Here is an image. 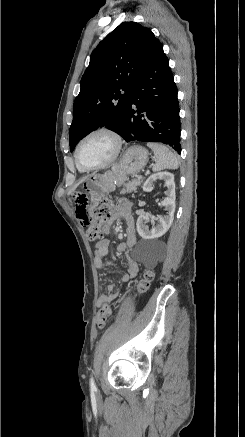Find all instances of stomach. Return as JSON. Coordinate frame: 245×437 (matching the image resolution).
Here are the masks:
<instances>
[{"label":"stomach","instance_id":"obj_1","mask_svg":"<svg viewBox=\"0 0 245 437\" xmlns=\"http://www.w3.org/2000/svg\"><path fill=\"white\" fill-rule=\"evenodd\" d=\"M148 151L139 145L129 147L120 162L103 174H92L82 182V190L90 197L94 206L116 187L121 186L129 175L140 171L147 164Z\"/></svg>","mask_w":245,"mask_h":437}]
</instances>
